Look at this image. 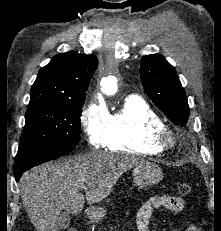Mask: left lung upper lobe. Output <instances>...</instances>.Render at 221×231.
<instances>
[{
	"label": "left lung upper lobe",
	"instance_id": "5c2ea615",
	"mask_svg": "<svg viewBox=\"0 0 221 231\" xmlns=\"http://www.w3.org/2000/svg\"><path fill=\"white\" fill-rule=\"evenodd\" d=\"M140 66L147 95L175 125L186 124L189 105L174 67L161 54L143 56Z\"/></svg>",
	"mask_w": 221,
	"mask_h": 231
}]
</instances>
